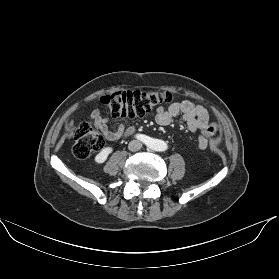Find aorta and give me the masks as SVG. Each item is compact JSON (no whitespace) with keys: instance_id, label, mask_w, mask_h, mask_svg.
<instances>
[{"instance_id":"762f6f07","label":"aorta","mask_w":279,"mask_h":279,"mask_svg":"<svg viewBox=\"0 0 279 279\" xmlns=\"http://www.w3.org/2000/svg\"><path fill=\"white\" fill-rule=\"evenodd\" d=\"M167 144L163 140L155 139L152 142V148L156 151H165L167 149Z\"/></svg>"}]
</instances>
